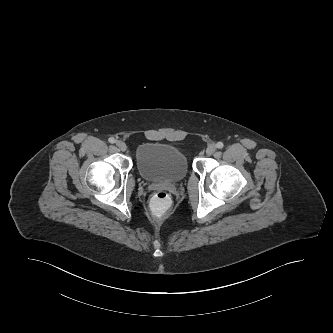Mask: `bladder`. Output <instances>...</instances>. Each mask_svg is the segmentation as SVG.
<instances>
[{"label": "bladder", "instance_id": "obj_1", "mask_svg": "<svg viewBox=\"0 0 333 333\" xmlns=\"http://www.w3.org/2000/svg\"><path fill=\"white\" fill-rule=\"evenodd\" d=\"M136 168L142 178L154 182H178L188 172L185 154L161 143L148 142L135 150Z\"/></svg>", "mask_w": 333, "mask_h": 333}]
</instances>
